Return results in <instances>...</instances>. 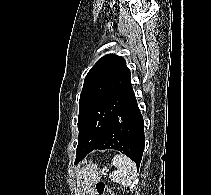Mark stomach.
<instances>
[{
    "instance_id": "1",
    "label": "stomach",
    "mask_w": 211,
    "mask_h": 195,
    "mask_svg": "<svg viewBox=\"0 0 211 195\" xmlns=\"http://www.w3.org/2000/svg\"><path fill=\"white\" fill-rule=\"evenodd\" d=\"M101 172L96 165H90L83 169L81 184L82 190L78 195H91L92 186L100 180Z\"/></svg>"
}]
</instances>
